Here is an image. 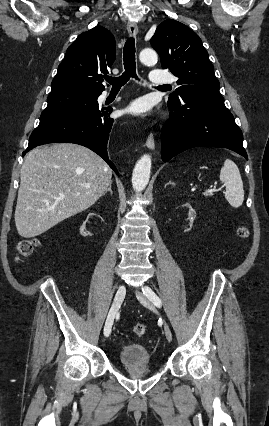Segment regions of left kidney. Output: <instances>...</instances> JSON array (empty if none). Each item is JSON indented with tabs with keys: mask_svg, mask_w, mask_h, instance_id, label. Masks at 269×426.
<instances>
[{
	"mask_svg": "<svg viewBox=\"0 0 269 426\" xmlns=\"http://www.w3.org/2000/svg\"><path fill=\"white\" fill-rule=\"evenodd\" d=\"M182 206L185 207V208H187L189 210V212H188V216H189L188 220L190 221V224H189L190 227L189 228L185 227V232H188V231L191 230L192 223H193L194 219L196 218V212H195V210L192 208V206L189 203H185Z\"/></svg>",
	"mask_w": 269,
	"mask_h": 426,
	"instance_id": "1",
	"label": "left kidney"
}]
</instances>
